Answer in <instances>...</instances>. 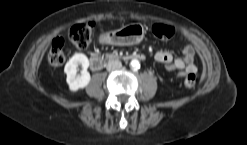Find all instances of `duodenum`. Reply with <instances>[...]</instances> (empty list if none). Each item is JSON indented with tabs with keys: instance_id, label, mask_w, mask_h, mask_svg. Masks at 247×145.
Wrapping results in <instances>:
<instances>
[{
	"instance_id": "1",
	"label": "duodenum",
	"mask_w": 247,
	"mask_h": 145,
	"mask_svg": "<svg viewBox=\"0 0 247 145\" xmlns=\"http://www.w3.org/2000/svg\"><path fill=\"white\" fill-rule=\"evenodd\" d=\"M144 58H145L144 55L141 53H131V54H127V55L119 57V59L121 60H132V59L144 60ZM89 64H90V68L93 71H99L103 66V61L100 57L93 56L90 58Z\"/></svg>"
}]
</instances>
